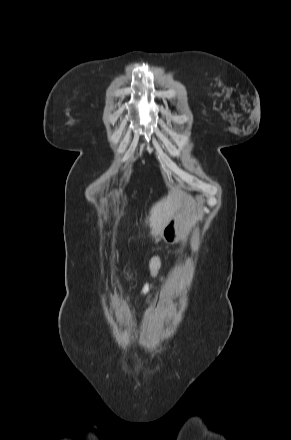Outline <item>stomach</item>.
Returning <instances> with one entry per match:
<instances>
[{"label": "stomach", "instance_id": "1", "mask_svg": "<svg viewBox=\"0 0 291 440\" xmlns=\"http://www.w3.org/2000/svg\"><path fill=\"white\" fill-rule=\"evenodd\" d=\"M181 205L182 212L174 214L160 232L161 238L166 242L176 241L181 237L184 227L199 208L197 198L189 193L182 194Z\"/></svg>", "mask_w": 291, "mask_h": 440}]
</instances>
